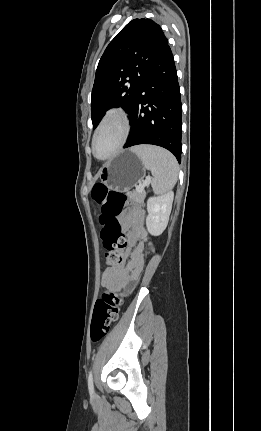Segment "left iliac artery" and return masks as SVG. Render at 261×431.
Returning a JSON list of instances; mask_svg holds the SVG:
<instances>
[{
	"label": "left iliac artery",
	"mask_w": 261,
	"mask_h": 431,
	"mask_svg": "<svg viewBox=\"0 0 261 431\" xmlns=\"http://www.w3.org/2000/svg\"><path fill=\"white\" fill-rule=\"evenodd\" d=\"M88 388H89L90 393L94 392L92 370L89 372V376H88Z\"/></svg>",
	"instance_id": "obj_1"
}]
</instances>
